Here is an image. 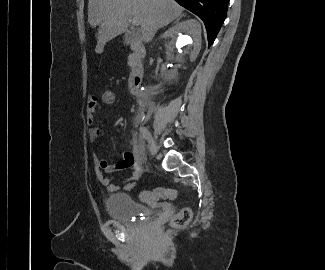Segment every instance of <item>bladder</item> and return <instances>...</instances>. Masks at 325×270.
I'll return each instance as SVG.
<instances>
[{
    "label": "bladder",
    "instance_id": "obj_1",
    "mask_svg": "<svg viewBox=\"0 0 325 270\" xmlns=\"http://www.w3.org/2000/svg\"><path fill=\"white\" fill-rule=\"evenodd\" d=\"M106 210L113 221L127 227H135L149 215L146 207L124 193L110 195L106 200Z\"/></svg>",
    "mask_w": 325,
    "mask_h": 270
}]
</instances>
